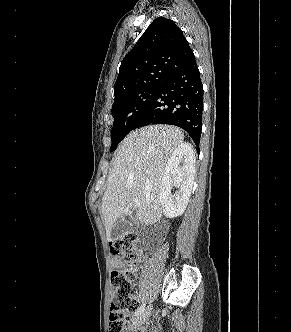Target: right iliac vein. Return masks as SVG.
<instances>
[{
  "instance_id": "1",
  "label": "right iliac vein",
  "mask_w": 291,
  "mask_h": 332,
  "mask_svg": "<svg viewBox=\"0 0 291 332\" xmlns=\"http://www.w3.org/2000/svg\"><path fill=\"white\" fill-rule=\"evenodd\" d=\"M151 306H148L145 311H143L140 315H138L134 320H133V326L137 327L145 323V321L149 318L151 315Z\"/></svg>"
}]
</instances>
